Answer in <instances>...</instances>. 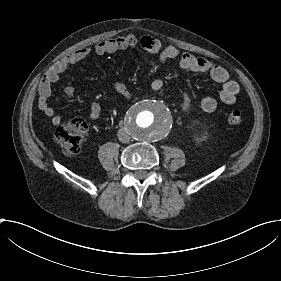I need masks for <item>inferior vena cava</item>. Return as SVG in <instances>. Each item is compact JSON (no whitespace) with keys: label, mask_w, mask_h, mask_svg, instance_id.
I'll return each instance as SVG.
<instances>
[{"label":"inferior vena cava","mask_w":281,"mask_h":281,"mask_svg":"<svg viewBox=\"0 0 281 281\" xmlns=\"http://www.w3.org/2000/svg\"><path fill=\"white\" fill-rule=\"evenodd\" d=\"M118 139L123 143H128L130 142L131 137L125 128H120L118 130Z\"/></svg>","instance_id":"602c4592"}]
</instances>
